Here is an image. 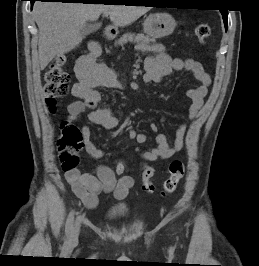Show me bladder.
<instances>
[{
  "label": "bladder",
  "instance_id": "obj_1",
  "mask_svg": "<svg viewBox=\"0 0 259 266\" xmlns=\"http://www.w3.org/2000/svg\"><path fill=\"white\" fill-rule=\"evenodd\" d=\"M128 212V207L125 204H116L109 208V210L106 213V217L109 220H116Z\"/></svg>",
  "mask_w": 259,
  "mask_h": 266
}]
</instances>
